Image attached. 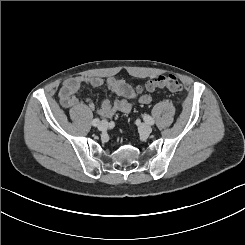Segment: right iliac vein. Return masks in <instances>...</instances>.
I'll list each match as a JSON object with an SVG mask.
<instances>
[{
  "instance_id": "63e3f726",
  "label": "right iliac vein",
  "mask_w": 245,
  "mask_h": 245,
  "mask_svg": "<svg viewBox=\"0 0 245 245\" xmlns=\"http://www.w3.org/2000/svg\"><path fill=\"white\" fill-rule=\"evenodd\" d=\"M107 128H108V122L106 120H102L98 125V129L100 131H105Z\"/></svg>"
}]
</instances>
